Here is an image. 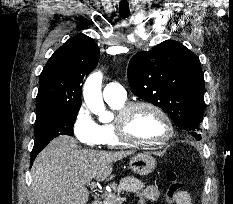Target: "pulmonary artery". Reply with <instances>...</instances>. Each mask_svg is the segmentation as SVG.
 Listing matches in <instances>:
<instances>
[{"label": "pulmonary artery", "mask_w": 233, "mask_h": 204, "mask_svg": "<svg viewBox=\"0 0 233 204\" xmlns=\"http://www.w3.org/2000/svg\"><path fill=\"white\" fill-rule=\"evenodd\" d=\"M126 96V90L118 82H110L103 89V97L106 102L125 101Z\"/></svg>", "instance_id": "pulmonary-artery-1"}]
</instances>
